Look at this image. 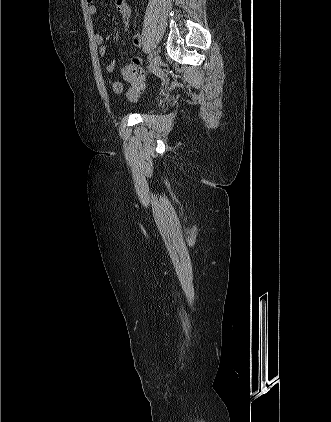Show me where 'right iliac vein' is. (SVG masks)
Masks as SVG:
<instances>
[{"instance_id":"63e3f726","label":"right iliac vein","mask_w":331,"mask_h":422,"mask_svg":"<svg viewBox=\"0 0 331 422\" xmlns=\"http://www.w3.org/2000/svg\"><path fill=\"white\" fill-rule=\"evenodd\" d=\"M159 65H160V57L159 55H155L153 58V61L151 62L149 66V72L153 73L154 71H156Z\"/></svg>"}]
</instances>
